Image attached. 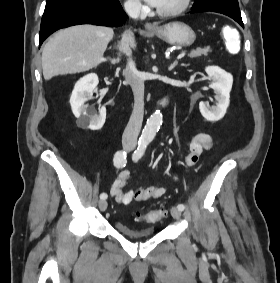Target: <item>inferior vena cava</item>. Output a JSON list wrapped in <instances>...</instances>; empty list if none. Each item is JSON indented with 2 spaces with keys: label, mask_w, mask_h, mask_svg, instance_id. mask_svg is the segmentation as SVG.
<instances>
[{
  "label": "inferior vena cava",
  "mask_w": 280,
  "mask_h": 283,
  "mask_svg": "<svg viewBox=\"0 0 280 283\" xmlns=\"http://www.w3.org/2000/svg\"><path fill=\"white\" fill-rule=\"evenodd\" d=\"M126 13L133 19L139 17L141 6L138 3L127 2L124 5ZM130 32H125L118 45L119 50L128 57L127 64L123 70L126 81L130 84L134 94V107L130 120L124 130L122 143L134 147L141 130L144 115V80L136 69L135 62L131 57Z\"/></svg>",
  "instance_id": "obj_1"
}]
</instances>
